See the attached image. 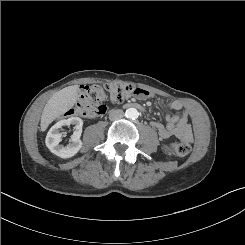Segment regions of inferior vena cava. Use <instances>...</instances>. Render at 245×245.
Returning a JSON list of instances; mask_svg holds the SVG:
<instances>
[{"label": "inferior vena cava", "instance_id": "obj_1", "mask_svg": "<svg viewBox=\"0 0 245 245\" xmlns=\"http://www.w3.org/2000/svg\"><path fill=\"white\" fill-rule=\"evenodd\" d=\"M124 112L121 109L111 110L109 114V119L111 121L119 120L123 118Z\"/></svg>", "mask_w": 245, "mask_h": 245}]
</instances>
